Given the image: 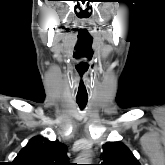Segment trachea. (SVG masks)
Instances as JSON below:
<instances>
[{"instance_id": "3493384b", "label": "trachea", "mask_w": 165, "mask_h": 165, "mask_svg": "<svg viewBox=\"0 0 165 165\" xmlns=\"http://www.w3.org/2000/svg\"><path fill=\"white\" fill-rule=\"evenodd\" d=\"M87 100V98H77L76 102L78 103L79 107L83 109L87 104Z\"/></svg>"}]
</instances>
